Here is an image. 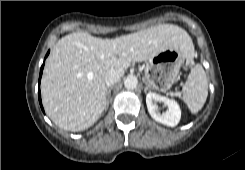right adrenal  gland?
<instances>
[{"mask_svg": "<svg viewBox=\"0 0 245 170\" xmlns=\"http://www.w3.org/2000/svg\"><path fill=\"white\" fill-rule=\"evenodd\" d=\"M111 90H112V86L109 87L108 92H107V104H106L105 109H107L109 106V102H110V98H111Z\"/></svg>", "mask_w": 245, "mask_h": 170, "instance_id": "right-adrenal-gland-1", "label": "right adrenal gland"}]
</instances>
